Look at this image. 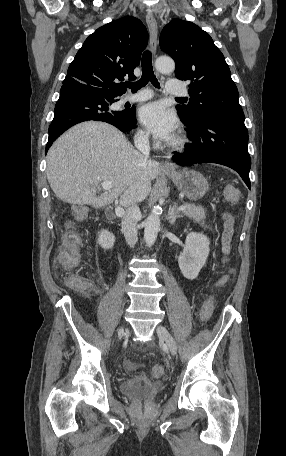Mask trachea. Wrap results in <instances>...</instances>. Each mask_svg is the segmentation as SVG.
I'll return each mask as SVG.
<instances>
[{"label": "trachea", "instance_id": "trachea-1", "mask_svg": "<svg viewBox=\"0 0 286 456\" xmlns=\"http://www.w3.org/2000/svg\"><path fill=\"white\" fill-rule=\"evenodd\" d=\"M142 76L137 82H127L125 86L130 88L132 92H136L140 88L144 87L149 81L156 87L160 88V84L154 75L152 66V54L150 51H145L142 55ZM184 100L185 98H177Z\"/></svg>", "mask_w": 286, "mask_h": 456}]
</instances>
